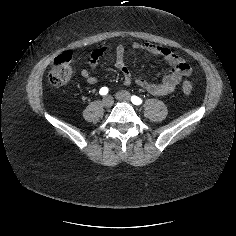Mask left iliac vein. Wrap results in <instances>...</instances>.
<instances>
[{
    "label": "left iliac vein",
    "instance_id": "1",
    "mask_svg": "<svg viewBox=\"0 0 236 236\" xmlns=\"http://www.w3.org/2000/svg\"><path fill=\"white\" fill-rule=\"evenodd\" d=\"M115 96L120 101L129 102L131 100V95L127 91H119Z\"/></svg>",
    "mask_w": 236,
    "mask_h": 236
}]
</instances>
